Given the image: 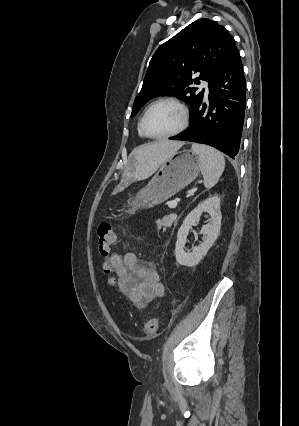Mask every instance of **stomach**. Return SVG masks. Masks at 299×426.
I'll return each mask as SVG.
<instances>
[{
  "label": "stomach",
  "mask_w": 299,
  "mask_h": 426,
  "mask_svg": "<svg viewBox=\"0 0 299 426\" xmlns=\"http://www.w3.org/2000/svg\"><path fill=\"white\" fill-rule=\"evenodd\" d=\"M200 170L199 156L193 151L175 152L161 165L150 183L130 200L125 212L134 214L138 209L151 208L166 201L190 184Z\"/></svg>",
  "instance_id": "stomach-1"
}]
</instances>
